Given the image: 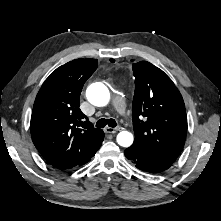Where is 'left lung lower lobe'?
<instances>
[{
    "mask_svg": "<svg viewBox=\"0 0 221 221\" xmlns=\"http://www.w3.org/2000/svg\"><path fill=\"white\" fill-rule=\"evenodd\" d=\"M124 154L138 169L148 173H161L172 165L148 150L133 145Z\"/></svg>",
    "mask_w": 221,
    "mask_h": 221,
    "instance_id": "left-lung-lower-lobe-1",
    "label": "left lung lower lobe"
}]
</instances>
